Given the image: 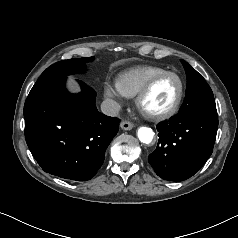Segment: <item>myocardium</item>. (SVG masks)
<instances>
[{"mask_svg":"<svg viewBox=\"0 0 238 238\" xmlns=\"http://www.w3.org/2000/svg\"><path fill=\"white\" fill-rule=\"evenodd\" d=\"M167 76H174L175 78H177V80L179 81V92L178 95L175 99V101L173 102V104L160 112H149L147 111L144 106V100L145 98L148 96V94L151 92L153 86L162 78L167 77ZM184 93H185V82L183 80V78L172 71H164L162 73H159L155 76H153L147 83L146 85L142 88V90L139 92V94L136 96V106L139 110V112L146 117L147 119L153 120V121H163L166 119H169L170 117H172L173 115H175L177 113V111L179 110L181 103L183 101V97H184Z\"/></svg>","mask_w":238,"mask_h":238,"instance_id":"1","label":"myocardium"}]
</instances>
